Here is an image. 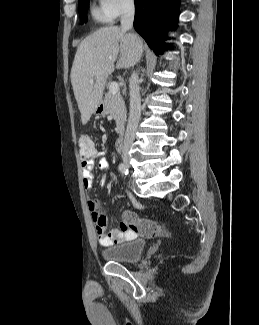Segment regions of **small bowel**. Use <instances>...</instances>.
Masks as SVG:
<instances>
[{
    "instance_id": "small-bowel-1",
    "label": "small bowel",
    "mask_w": 259,
    "mask_h": 325,
    "mask_svg": "<svg viewBox=\"0 0 259 325\" xmlns=\"http://www.w3.org/2000/svg\"><path fill=\"white\" fill-rule=\"evenodd\" d=\"M95 164H97L98 168L103 172H106L109 169V163L105 158V153L103 151L96 150L92 157L82 161V178L85 190H90L93 186V170ZM106 182L107 177L104 174L100 179V184L103 186L106 184ZM126 194L135 206H140V204L131 192H127ZM87 206L91 215V219L95 225L100 245L107 247L114 244L122 243L123 241L132 239L136 236V233L129 229L123 223V221L120 225V229L109 230L108 219L102 213L98 200L88 199Z\"/></svg>"
}]
</instances>
